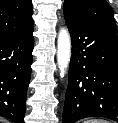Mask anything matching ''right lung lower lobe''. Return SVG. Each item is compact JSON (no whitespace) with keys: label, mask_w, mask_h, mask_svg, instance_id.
Returning a JSON list of instances; mask_svg holds the SVG:
<instances>
[{"label":"right lung lower lobe","mask_w":118,"mask_h":123,"mask_svg":"<svg viewBox=\"0 0 118 123\" xmlns=\"http://www.w3.org/2000/svg\"><path fill=\"white\" fill-rule=\"evenodd\" d=\"M33 28L24 34L0 39V116L23 123L31 78Z\"/></svg>","instance_id":"right-lung-lower-lobe-1"}]
</instances>
